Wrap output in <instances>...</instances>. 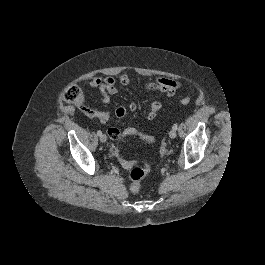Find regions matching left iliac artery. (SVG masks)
Listing matches in <instances>:
<instances>
[{
    "label": "left iliac artery",
    "instance_id": "left-iliac-artery-1",
    "mask_svg": "<svg viewBox=\"0 0 265 265\" xmlns=\"http://www.w3.org/2000/svg\"><path fill=\"white\" fill-rule=\"evenodd\" d=\"M177 128H178V124L175 123V124L173 125L172 129H173V130H177Z\"/></svg>",
    "mask_w": 265,
    "mask_h": 265
}]
</instances>
